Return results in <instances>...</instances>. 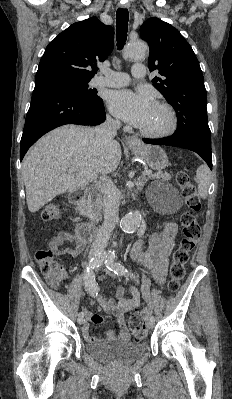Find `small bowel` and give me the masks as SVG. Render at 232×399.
<instances>
[{
  "mask_svg": "<svg viewBox=\"0 0 232 399\" xmlns=\"http://www.w3.org/2000/svg\"><path fill=\"white\" fill-rule=\"evenodd\" d=\"M167 235L169 237H174L176 234L175 227L172 224H167ZM160 235L155 233L151 235L147 241L151 244V249L147 255L142 258H139L136 254L132 255V259L134 261H141L145 264L153 265L155 267V275L157 278V282L161 284L166 275L168 268V249L159 243ZM145 239L143 237H137L134 242V248H139ZM85 248L84 242H77L74 247L64 246L60 243H53L52 251L55 255L67 254L72 257H78L79 253ZM103 281L109 285V281L103 278ZM129 293L131 295L130 299L124 298L125 292L123 288H119L117 291V295L119 297V302H115L111 298H104L103 296H99L98 300L103 305L105 310L108 313H113L117 316V320L119 323V331L112 332L108 334V338L117 342L121 339H125L129 334V328L124 323V315L130 310L137 308L140 305V291L137 287L133 286L130 288ZM82 312L89 320L87 323L81 324L78 329L79 332L83 334L85 339L88 341L90 345H98L99 338L92 334L91 323H100L102 321V317L98 314L92 313L87 307H82Z\"/></svg>",
  "mask_w": 232,
  "mask_h": 399,
  "instance_id": "1",
  "label": "small bowel"
}]
</instances>
